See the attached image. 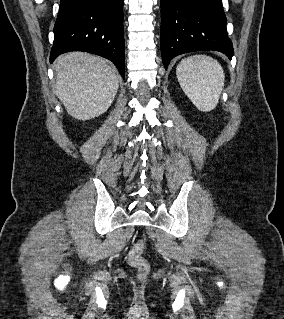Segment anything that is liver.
<instances>
[{
    "label": "liver",
    "instance_id": "6515ba94",
    "mask_svg": "<svg viewBox=\"0 0 284 319\" xmlns=\"http://www.w3.org/2000/svg\"><path fill=\"white\" fill-rule=\"evenodd\" d=\"M55 70L56 94L68 114L78 120L103 114L118 91L116 68L99 56L70 52L57 59Z\"/></svg>",
    "mask_w": 284,
    "mask_h": 319
}]
</instances>
